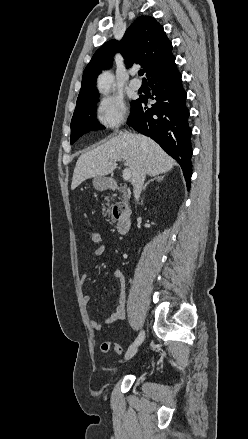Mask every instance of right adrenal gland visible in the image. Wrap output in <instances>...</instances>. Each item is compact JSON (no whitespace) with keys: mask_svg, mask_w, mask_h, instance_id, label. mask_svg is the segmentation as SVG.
<instances>
[{"mask_svg":"<svg viewBox=\"0 0 248 439\" xmlns=\"http://www.w3.org/2000/svg\"><path fill=\"white\" fill-rule=\"evenodd\" d=\"M164 176H165V175H161V176H158V177H155V178L149 180V181L144 185L143 190L145 191L146 188H147V186H148V184H149L150 182L154 181V180H156V181H158V182L162 181V180L164 179Z\"/></svg>","mask_w":248,"mask_h":439,"instance_id":"1","label":"right adrenal gland"}]
</instances>
